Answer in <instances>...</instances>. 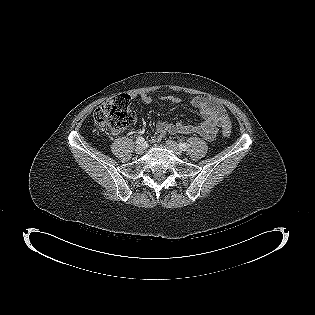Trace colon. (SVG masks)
<instances>
[{
    "label": "colon",
    "instance_id": "1",
    "mask_svg": "<svg viewBox=\"0 0 315 315\" xmlns=\"http://www.w3.org/2000/svg\"><path fill=\"white\" fill-rule=\"evenodd\" d=\"M129 95L120 94L112 97L100 105L94 112L95 125L100 129L122 130L134 120V112L130 108ZM224 136H229L230 127L222 129Z\"/></svg>",
    "mask_w": 315,
    "mask_h": 315
}]
</instances>
